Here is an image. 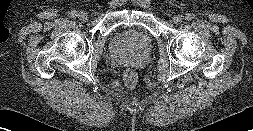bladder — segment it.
<instances>
[{"mask_svg": "<svg viewBox=\"0 0 253 131\" xmlns=\"http://www.w3.org/2000/svg\"><path fill=\"white\" fill-rule=\"evenodd\" d=\"M153 42L154 36L150 31L144 30L141 32V44L144 48L150 47Z\"/></svg>", "mask_w": 253, "mask_h": 131, "instance_id": "obj_1", "label": "bladder"}]
</instances>
